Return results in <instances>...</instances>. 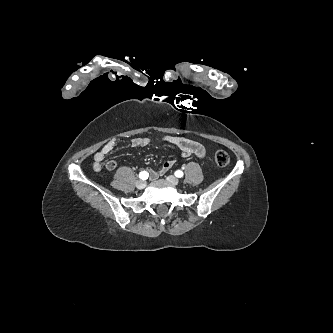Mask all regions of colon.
<instances>
[{
    "label": "colon",
    "mask_w": 333,
    "mask_h": 333,
    "mask_svg": "<svg viewBox=\"0 0 333 333\" xmlns=\"http://www.w3.org/2000/svg\"><path fill=\"white\" fill-rule=\"evenodd\" d=\"M230 161L229 155L223 150H219L215 153V162L218 166L224 167L228 165Z\"/></svg>",
    "instance_id": "5ec220e1"
}]
</instances>
